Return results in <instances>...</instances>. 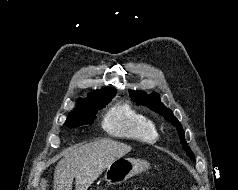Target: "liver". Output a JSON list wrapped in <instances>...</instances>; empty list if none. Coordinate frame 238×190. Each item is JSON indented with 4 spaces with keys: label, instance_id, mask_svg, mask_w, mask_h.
I'll return each instance as SVG.
<instances>
[{
    "label": "liver",
    "instance_id": "obj_1",
    "mask_svg": "<svg viewBox=\"0 0 238 190\" xmlns=\"http://www.w3.org/2000/svg\"><path fill=\"white\" fill-rule=\"evenodd\" d=\"M132 150L130 145L100 139L67 149L54 171V190H87L114 161Z\"/></svg>",
    "mask_w": 238,
    "mask_h": 190
}]
</instances>
